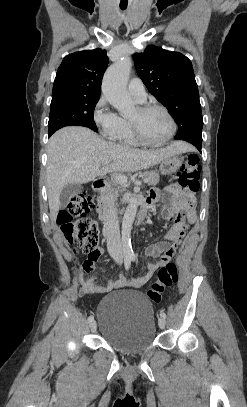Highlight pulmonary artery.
I'll list each match as a JSON object with an SVG mask.
<instances>
[{
  "mask_svg": "<svg viewBox=\"0 0 247 407\" xmlns=\"http://www.w3.org/2000/svg\"><path fill=\"white\" fill-rule=\"evenodd\" d=\"M128 91L137 102H144L146 100L145 86L140 79H132L128 84Z\"/></svg>",
  "mask_w": 247,
  "mask_h": 407,
  "instance_id": "e3ab8cb5",
  "label": "pulmonary artery"
}]
</instances>
